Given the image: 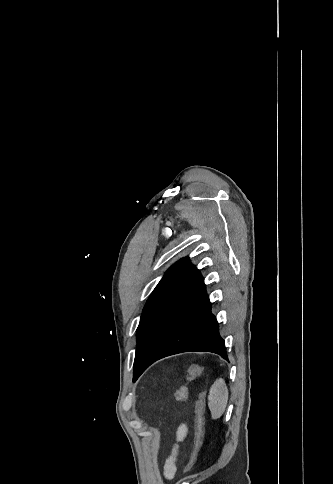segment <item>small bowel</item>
Masks as SVG:
<instances>
[{
    "instance_id": "c3829d8e",
    "label": "small bowel",
    "mask_w": 333,
    "mask_h": 484,
    "mask_svg": "<svg viewBox=\"0 0 333 484\" xmlns=\"http://www.w3.org/2000/svg\"><path fill=\"white\" fill-rule=\"evenodd\" d=\"M187 435V426L182 423L178 426L176 432L177 442H181ZM178 455V444H176L169 457L166 459L164 464V477L168 480L172 479L176 473V460Z\"/></svg>"
}]
</instances>
